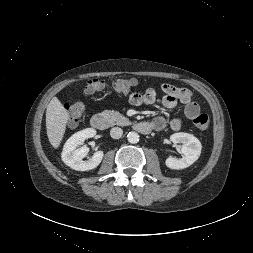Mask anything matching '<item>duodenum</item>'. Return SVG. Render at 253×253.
<instances>
[{"instance_id":"obj_1","label":"duodenum","mask_w":253,"mask_h":253,"mask_svg":"<svg viewBox=\"0 0 253 253\" xmlns=\"http://www.w3.org/2000/svg\"><path fill=\"white\" fill-rule=\"evenodd\" d=\"M90 122L92 127L98 130H104L107 127V118L101 113L93 115ZM134 129L140 133L146 134L154 128L149 122H137L134 124Z\"/></svg>"}]
</instances>
